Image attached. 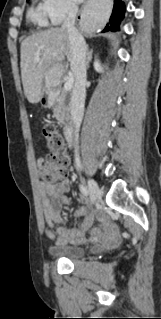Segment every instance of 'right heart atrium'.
<instances>
[{"instance_id": "d8ad5b80", "label": "right heart atrium", "mask_w": 161, "mask_h": 319, "mask_svg": "<svg viewBox=\"0 0 161 319\" xmlns=\"http://www.w3.org/2000/svg\"><path fill=\"white\" fill-rule=\"evenodd\" d=\"M42 5L53 25L60 24L65 17L76 11L73 0H43Z\"/></svg>"}]
</instances>
